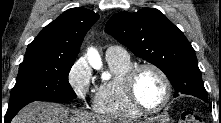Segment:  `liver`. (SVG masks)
Wrapping results in <instances>:
<instances>
[{"instance_id": "liver-1", "label": "liver", "mask_w": 221, "mask_h": 123, "mask_svg": "<svg viewBox=\"0 0 221 123\" xmlns=\"http://www.w3.org/2000/svg\"><path fill=\"white\" fill-rule=\"evenodd\" d=\"M106 120L56 103L34 102L25 106L12 123H104ZM110 122V121H108Z\"/></svg>"}]
</instances>
